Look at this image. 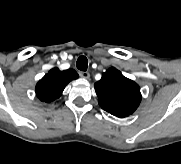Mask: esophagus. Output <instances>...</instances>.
I'll list each match as a JSON object with an SVG mask.
<instances>
[{
	"label": "esophagus",
	"mask_w": 181,
	"mask_h": 164,
	"mask_svg": "<svg viewBox=\"0 0 181 164\" xmlns=\"http://www.w3.org/2000/svg\"><path fill=\"white\" fill-rule=\"evenodd\" d=\"M79 75L84 79H88L90 77V74L87 71H80Z\"/></svg>",
	"instance_id": "1"
}]
</instances>
